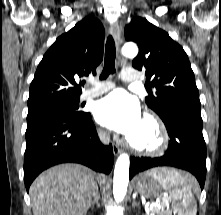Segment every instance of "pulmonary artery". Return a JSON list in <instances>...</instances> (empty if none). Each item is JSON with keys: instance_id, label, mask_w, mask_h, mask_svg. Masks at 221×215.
Here are the masks:
<instances>
[{"instance_id": "obj_1", "label": "pulmonary artery", "mask_w": 221, "mask_h": 215, "mask_svg": "<svg viewBox=\"0 0 221 215\" xmlns=\"http://www.w3.org/2000/svg\"><path fill=\"white\" fill-rule=\"evenodd\" d=\"M122 80L127 83H137L140 80L139 75L134 69L126 68L122 71ZM114 83L110 81L96 84L93 88L85 90L81 96V101L92 99L114 88Z\"/></svg>"}]
</instances>
